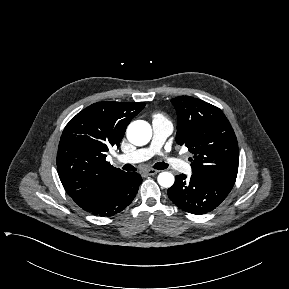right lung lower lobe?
Returning a JSON list of instances; mask_svg holds the SVG:
<instances>
[{"instance_id": "1", "label": "right lung lower lobe", "mask_w": 289, "mask_h": 289, "mask_svg": "<svg viewBox=\"0 0 289 289\" xmlns=\"http://www.w3.org/2000/svg\"><path fill=\"white\" fill-rule=\"evenodd\" d=\"M141 181L140 174L127 172L106 197L83 209L94 215H114L125 209L132 202Z\"/></svg>"}]
</instances>
